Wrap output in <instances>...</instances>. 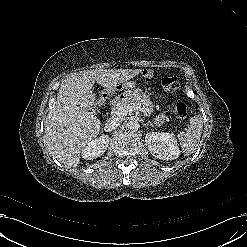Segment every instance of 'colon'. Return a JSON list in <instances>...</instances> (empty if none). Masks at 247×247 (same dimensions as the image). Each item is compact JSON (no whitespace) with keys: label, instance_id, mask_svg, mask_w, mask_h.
<instances>
[{"label":"colon","instance_id":"colon-1","mask_svg":"<svg viewBox=\"0 0 247 247\" xmlns=\"http://www.w3.org/2000/svg\"><path fill=\"white\" fill-rule=\"evenodd\" d=\"M161 85L167 92H179L181 90V83L175 76H165L161 79ZM173 114L179 119L187 117V106L182 101H176L172 105Z\"/></svg>","mask_w":247,"mask_h":247}]
</instances>
